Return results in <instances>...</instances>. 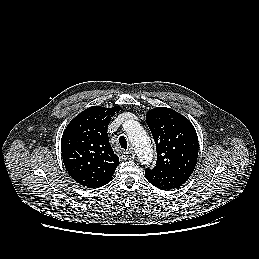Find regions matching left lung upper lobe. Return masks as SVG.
I'll return each instance as SVG.
<instances>
[{"instance_id":"5c2ea615","label":"left lung upper lobe","mask_w":259,"mask_h":259,"mask_svg":"<svg viewBox=\"0 0 259 259\" xmlns=\"http://www.w3.org/2000/svg\"><path fill=\"white\" fill-rule=\"evenodd\" d=\"M146 121L157 149V162L151 170L169 171L188 179L196 166L199 148L193 125L166 107L149 110Z\"/></svg>"}]
</instances>
